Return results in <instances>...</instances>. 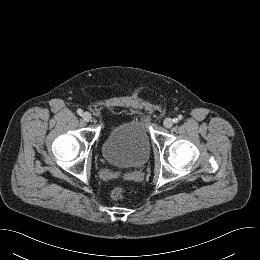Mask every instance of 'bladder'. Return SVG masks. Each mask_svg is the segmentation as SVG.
Masks as SVG:
<instances>
[{
	"label": "bladder",
	"instance_id": "31cf9c89",
	"mask_svg": "<svg viewBox=\"0 0 260 260\" xmlns=\"http://www.w3.org/2000/svg\"><path fill=\"white\" fill-rule=\"evenodd\" d=\"M151 140L146 124L139 117L111 126L102 145L103 159L114 166L135 168L145 164L150 156Z\"/></svg>",
	"mask_w": 260,
	"mask_h": 260
}]
</instances>
